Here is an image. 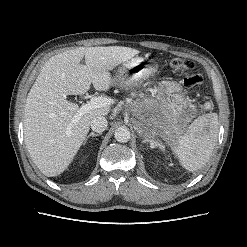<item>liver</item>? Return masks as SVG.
<instances>
[{
  "instance_id": "1",
  "label": "liver",
  "mask_w": 247,
  "mask_h": 247,
  "mask_svg": "<svg viewBox=\"0 0 247 247\" xmlns=\"http://www.w3.org/2000/svg\"><path fill=\"white\" fill-rule=\"evenodd\" d=\"M138 53L122 46L78 47L44 64L28 93L24 113L25 144L44 175L63 173L84 143L91 120L110 112V106L95 108L75 119L80 107L67 96L85 94L91 84L97 91H108L114 84L110 70ZM83 58L85 65L80 64Z\"/></svg>"
}]
</instances>
